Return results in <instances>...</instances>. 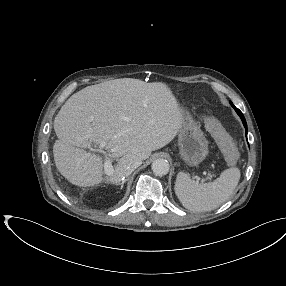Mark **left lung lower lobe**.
Segmentation results:
<instances>
[{"instance_id":"left-lung-lower-lobe-1","label":"left lung lower lobe","mask_w":286,"mask_h":286,"mask_svg":"<svg viewBox=\"0 0 286 286\" xmlns=\"http://www.w3.org/2000/svg\"><path fill=\"white\" fill-rule=\"evenodd\" d=\"M232 107L235 109V111L237 112V114L240 116V118H241V120H242V122H243V125H244V127L246 128V137H247V123H246V120H245V118H244L242 112H241L239 109H237L234 105H232Z\"/></svg>"}]
</instances>
